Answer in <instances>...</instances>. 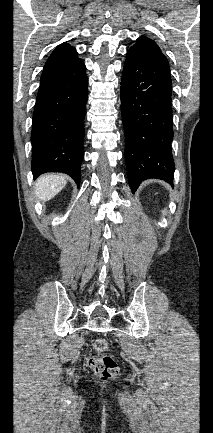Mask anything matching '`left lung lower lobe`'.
<instances>
[{
    "instance_id": "obj_1",
    "label": "left lung lower lobe",
    "mask_w": 213,
    "mask_h": 433,
    "mask_svg": "<svg viewBox=\"0 0 213 433\" xmlns=\"http://www.w3.org/2000/svg\"><path fill=\"white\" fill-rule=\"evenodd\" d=\"M171 83L168 63L137 48L128 50L120 98L132 192L149 178L173 184Z\"/></svg>"
}]
</instances>
